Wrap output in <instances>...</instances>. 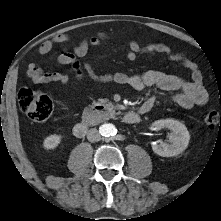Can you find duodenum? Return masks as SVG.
Wrapping results in <instances>:
<instances>
[{
  "label": "duodenum",
  "mask_w": 221,
  "mask_h": 221,
  "mask_svg": "<svg viewBox=\"0 0 221 221\" xmlns=\"http://www.w3.org/2000/svg\"><path fill=\"white\" fill-rule=\"evenodd\" d=\"M123 122L125 124H136L140 121V113L135 111H130L124 114ZM90 123L88 121H81L74 125L73 133L77 138H83L86 136Z\"/></svg>",
  "instance_id": "duodenum-1"
}]
</instances>
